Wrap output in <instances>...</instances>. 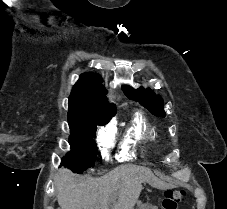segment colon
Wrapping results in <instances>:
<instances>
[{"label": "colon", "mask_w": 227, "mask_h": 209, "mask_svg": "<svg viewBox=\"0 0 227 209\" xmlns=\"http://www.w3.org/2000/svg\"><path fill=\"white\" fill-rule=\"evenodd\" d=\"M185 197L186 192L182 189H168L161 198V209H179Z\"/></svg>", "instance_id": "1"}]
</instances>
